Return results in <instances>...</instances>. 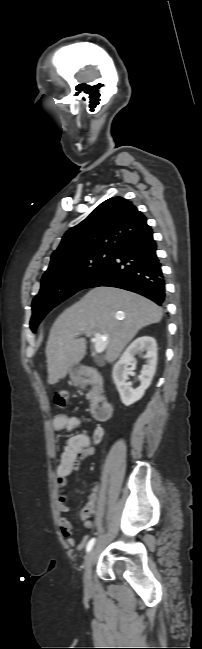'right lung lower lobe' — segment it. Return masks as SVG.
<instances>
[{"label":"right lung lower lobe","instance_id":"right-lung-lower-lobe-1","mask_svg":"<svg viewBox=\"0 0 202 649\" xmlns=\"http://www.w3.org/2000/svg\"><path fill=\"white\" fill-rule=\"evenodd\" d=\"M150 228L121 244L110 261L83 287L111 286L141 294L158 305L165 300V281Z\"/></svg>","mask_w":202,"mask_h":649}]
</instances>
